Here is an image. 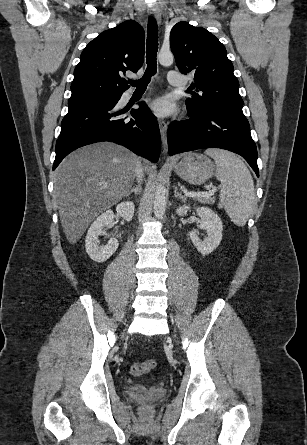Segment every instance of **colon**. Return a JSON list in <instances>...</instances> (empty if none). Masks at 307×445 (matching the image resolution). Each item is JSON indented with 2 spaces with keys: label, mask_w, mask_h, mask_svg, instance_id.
I'll list each match as a JSON object with an SVG mask.
<instances>
[{
  "label": "colon",
  "mask_w": 307,
  "mask_h": 445,
  "mask_svg": "<svg viewBox=\"0 0 307 445\" xmlns=\"http://www.w3.org/2000/svg\"><path fill=\"white\" fill-rule=\"evenodd\" d=\"M156 366V361L153 359L144 361V362H138L134 363L130 367V372L133 375H143L149 371H151Z\"/></svg>",
  "instance_id": "colon-1"
}]
</instances>
